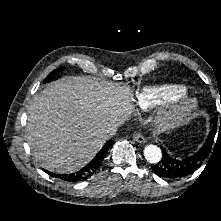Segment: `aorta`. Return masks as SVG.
<instances>
[{
	"mask_svg": "<svg viewBox=\"0 0 221 221\" xmlns=\"http://www.w3.org/2000/svg\"><path fill=\"white\" fill-rule=\"evenodd\" d=\"M144 157L149 163L156 164L162 158L161 149L156 145H147L144 148Z\"/></svg>",
	"mask_w": 221,
	"mask_h": 221,
	"instance_id": "762f6f07",
	"label": "aorta"
}]
</instances>
